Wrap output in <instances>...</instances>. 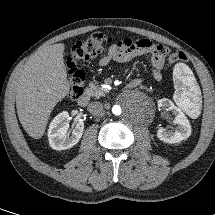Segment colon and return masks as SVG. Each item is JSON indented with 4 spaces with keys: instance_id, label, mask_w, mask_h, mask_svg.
I'll list each match as a JSON object with an SVG mask.
<instances>
[{
    "instance_id": "obj_1",
    "label": "colon",
    "mask_w": 215,
    "mask_h": 215,
    "mask_svg": "<svg viewBox=\"0 0 215 215\" xmlns=\"http://www.w3.org/2000/svg\"><path fill=\"white\" fill-rule=\"evenodd\" d=\"M110 39L101 33L92 34L85 40L77 42L67 58V68L69 73V98L76 100L83 93L84 74L77 68L79 61H87L96 57L105 50ZM168 54L167 50H164ZM171 63L183 62L186 56L183 52H172L168 54Z\"/></svg>"
}]
</instances>
